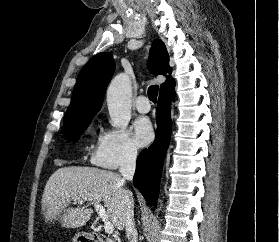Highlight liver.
<instances>
[{
  "instance_id": "liver-1",
  "label": "liver",
  "mask_w": 279,
  "mask_h": 242,
  "mask_svg": "<svg viewBox=\"0 0 279 242\" xmlns=\"http://www.w3.org/2000/svg\"><path fill=\"white\" fill-rule=\"evenodd\" d=\"M124 183V178L112 171L80 166L59 168L45 185L42 214L46 222L58 220L62 227H82L92 213L87 205H83V199L87 198V201L103 202L110 222L123 230L127 211L134 207ZM72 202H78V206L67 208Z\"/></svg>"
}]
</instances>
